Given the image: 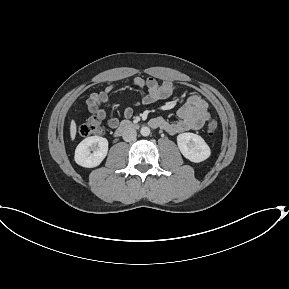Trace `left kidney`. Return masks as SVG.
<instances>
[{
	"label": "left kidney",
	"instance_id": "5707ae66",
	"mask_svg": "<svg viewBox=\"0 0 289 289\" xmlns=\"http://www.w3.org/2000/svg\"><path fill=\"white\" fill-rule=\"evenodd\" d=\"M177 144L182 155L191 162H202L211 154L210 148L204 139L194 133L179 134Z\"/></svg>",
	"mask_w": 289,
	"mask_h": 289
}]
</instances>
